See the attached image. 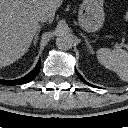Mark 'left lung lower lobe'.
Returning <instances> with one entry per match:
<instances>
[{"instance_id": "obj_1", "label": "left lung lower lobe", "mask_w": 128, "mask_h": 128, "mask_svg": "<svg viewBox=\"0 0 128 128\" xmlns=\"http://www.w3.org/2000/svg\"><path fill=\"white\" fill-rule=\"evenodd\" d=\"M76 74L78 75V77H79L85 84L92 86L91 84H89L88 82H86V81L83 79V77H82L77 71H76Z\"/></svg>"}]
</instances>
